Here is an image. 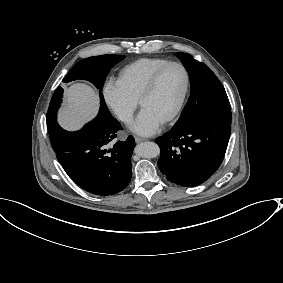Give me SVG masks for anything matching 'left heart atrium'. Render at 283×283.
<instances>
[{
    "instance_id": "left-heart-atrium-1",
    "label": "left heart atrium",
    "mask_w": 283,
    "mask_h": 283,
    "mask_svg": "<svg viewBox=\"0 0 283 283\" xmlns=\"http://www.w3.org/2000/svg\"><path fill=\"white\" fill-rule=\"evenodd\" d=\"M163 120L145 108H141L137 118L130 125V129L140 135L155 133Z\"/></svg>"
}]
</instances>
